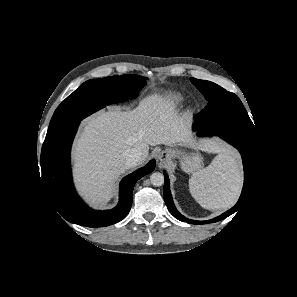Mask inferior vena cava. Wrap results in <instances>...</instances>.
Masks as SVG:
<instances>
[{
    "mask_svg": "<svg viewBox=\"0 0 297 297\" xmlns=\"http://www.w3.org/2000/svg\"><path fill=\"white\" fill-rule=\"evenodd\" d=\"M143 160V152L140 149H132L125 159L126 168H132Z\"/></svg>",
    "mask_w": 297,
    "mask_h": 297,
    "instance_id": "602c4592",
    "label": "inferior vena cava"
}]
</instances>
